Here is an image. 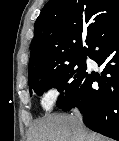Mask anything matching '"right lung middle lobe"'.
<instances>
[{
  "mask_svg": "<svg viewBox=\"0 0 119 141\" xmlns=\"http://www.w3.org/2000/svg\"><path fill=\"white\" fill-rule=\"evenodd\" d=\"M86 68V57H77L65 65L32 73L29 75L30 95L32 92L42 95L48 88L56 87L61 93L57 105L62 106L73 95Z\"/></svg>",
  "mask_w": 119,
  "mask_h": 141,
  "instance_id": "dd1d6c3e",
  "label": "right lung middle lobe"
}]
</instances>
